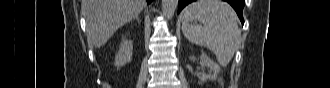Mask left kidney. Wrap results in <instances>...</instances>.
I'll return each instance as SVG.
<instances>
[{"label": "left kidney", "instance_id": "obj_1", "mask_svg": "<svg viewBox=\"0 0 330 88\" xmlns=\"http://www.w3.org/2000/svg\"><path fill=\"white\" fill-rule=\"evenodd\" d=\"M200 62L202 65L204 66H207V67H210V69L213 71V75H208V74H205V73H196V75L199 77V79L201 81H207L209 79H214L217 74L220 72V67L217 63H215L214 61L210 60L209 57L205 54H202L200 56Z\"/></svg>", "mask_w": 330, "mask_h": 88}]
</instances>
